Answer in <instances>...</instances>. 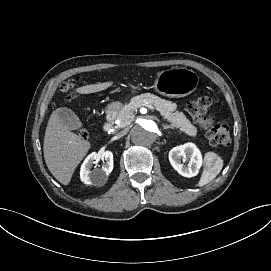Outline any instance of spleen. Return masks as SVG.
Wrapping results in <instances>:
<instances>
[{
    "label": "spleen",
    "mask_w": 271,
    "mask_h": 271,
    "mask_svg": "<svg viewBox=\"0 0 271 271\" xmlns=\"http://www.w3.org/2000/svg\"><path fill=\"white\" fill-rule=\"evenodd\" d=\"M224 166V159L215 152H207L204 155L203 171L200 180L195 187H203L212 182L221 172Z\"/></svg>",
    "instance_id": "3e777b00"
}]
</instances>
